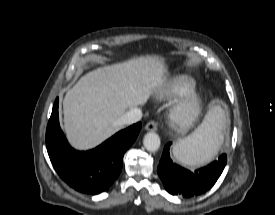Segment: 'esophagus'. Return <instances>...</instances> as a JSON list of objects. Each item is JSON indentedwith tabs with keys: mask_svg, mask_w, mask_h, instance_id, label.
<instances>
[{
	"mask_svg": "<svg viewBox=\"0 0 275 215\" xmlns=\"http://www.w3.org/2000/svg\"><path fill=\"white\" fill-rule=\"evenodd\" d=\"M145 129H146L147 131H152V132H154V131L157 130V123L154 122V121H150V122H148V123L146 124Z\"/></svg>",
	"mask_w": 275,
	"mask_h": 215,
	"instance_id": "1",
	"label": "esophagus"
}]
</instances>
